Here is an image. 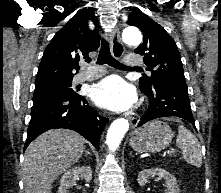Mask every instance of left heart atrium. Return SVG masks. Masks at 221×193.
<instances>
[{"label":"left heart atrium","instance_id":"obj_1","mask_svg":"<svg viewBox=\"0 0 221 193\" xmlns=\"http://www.w3.org/2000/svg\"><path fill=\"white\" fill-rule=\"evenodd\" d=\"M94 103L113 112H123L132 107L136 100L134 89L121 77L110 76L92 89Z\"/></svg>","mask_w":221,"mask_h":193}]
</instances>
